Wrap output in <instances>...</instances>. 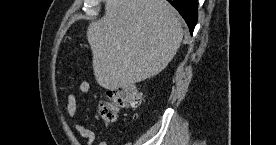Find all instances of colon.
Listing matches in <instances>:
<instances>
[{
    "label": "colon",
    "mask_w": 276,
    "mask_h": 145,
    "mask_svg": "<svg viewBox=\"0 0 276 145\" xmlns=\"http://www.w3.org/2000/svg\"><path fill=\"white\" fill-rule=\"evenodd\" d=\"M142 103L143 93L132 84L109 88L98 98V113L107 121H115L120 109H135Z\"/></svg>",
    "instance_id": "1"
}]
</instances>
